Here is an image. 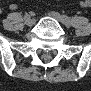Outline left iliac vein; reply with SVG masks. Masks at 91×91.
I'll return each mask as SVG.
<instances>
[{"instance_id":"1","label":"left iliac vein","mask_w":91,"mask_h":91,"mask_svg":"<svg viewBox=\"0 0 91 91\" xmlns=\"http://www.w3.org/2000/svg\"><path fill=\"white\" fill-rule=\"evenodd\" d=\"M49 15H50L51 17H53L54 19H56L58 22L66 24V23H65V20H64V18H63V16L60 15L59 13L54 12V11H51V12H49ZM66 25H67V24H66Z\"/></svg>"}]
</instances>
